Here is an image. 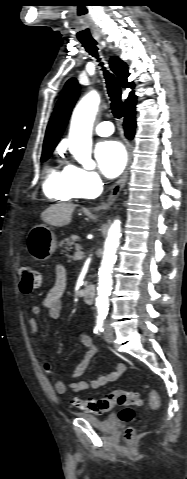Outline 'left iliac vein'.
I'll use <instances>...</instances> for the list:
<instances>
[{
    "label": "left iliac vein",
    "instance_id": "4c4485c4",
    "mask_svg": "<svg viewBox=\"0 0 187 479\" xmlns=\"http://www.w3.org/2000/svg\"><path fill=\"white\" fill-rule=\"evenodd\" d=\"M103 336H104V339L106 340V342H108V343L113 342V339H114L113 330H112L110 324L107 323V322L104 325Z\"/></svg>",
    "mask_w": 187,
    "mask_h": 479
}]
</instances>
